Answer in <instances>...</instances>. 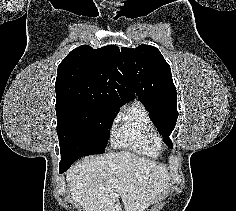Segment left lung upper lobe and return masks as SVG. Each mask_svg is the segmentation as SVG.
Returning <instances> with one entry per match:
<instances>
[{
    "mask_svg": "<svg viewBox=\"0 0 236 211\" xmlns=\"http://www.w3.org/2000/svg\"><path fill=\"white\" fill-rule=\"evenodd\" d=\"M121 53L130 86L143 103L149 117L169 148V135L178 118L177 93L169 64L160 51L151 45L135 49L122 47Z\"/></svg>",
    "mask_w": 236,
    "mask_h": 211,
    "instance_id": "left-lung-upper-lobe-1",
    "label": "left lung upper lobe"
}]
</instances>
